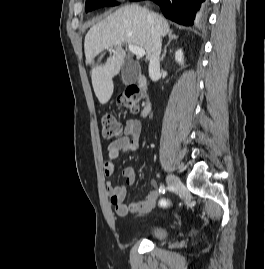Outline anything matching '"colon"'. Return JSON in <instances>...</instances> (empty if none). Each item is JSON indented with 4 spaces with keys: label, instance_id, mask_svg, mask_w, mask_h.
<instances>
[{
    "label": "colon",
    "instance_id": "5ec220e1",
    "mask_svg": "<svg viewBox=\"0 0 265 269\" xmlns=\"http://www.w3.org/2000/svg\"><path fill=\"white\" fill-rule=\"evenodd\" d=\"M140 101V88L132 85L129 86L126 91L117 98V105L119 108L126 111H137ZM102 137L105 140H113L117 138L122 132V126L117 121L114 115L104 114L102 116ZM162 205L166 202L162 201Z\"/></svg>",
    "mask_w": 265,
    "mask_h": 269
}]
</instances>
